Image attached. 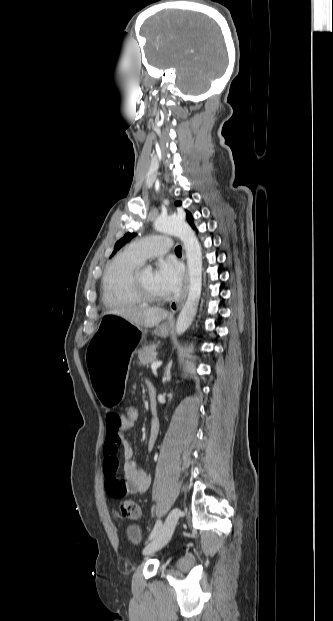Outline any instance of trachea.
<instances>
[{"instance_id": "3493384b", "label": "trachea", "mask_w": 333, "mask_h": 621, "mask_svg": "<svg viewBox=\"0 0 333 621\" xmlns=\"http://www.w3.org/2000/svg\"><path fill=\"white\" fill-rule=\"evenodd\" d=\"M175 252H176V253H181V246H177V247L175 248Z\"/></svg>"}]
</instances>
